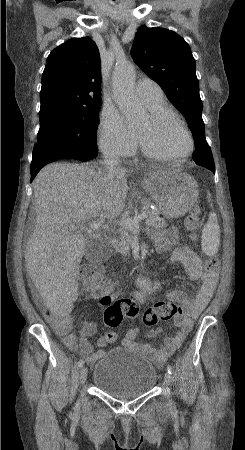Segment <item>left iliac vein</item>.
Listing matches in <instances>:
<instances>
[{
    "mask_svg": "<svg viewBox=\"0 0 245 450\" xmlns=\"http://www.w3.org/2000/svg\"><path fill=\"white\" fill-rule=\"evenodd\" d=\"M164 381L166 386L168 387L171 383V375L168 372H166L164 375Z\"/></svg>",
    "mask_w": 245,
    "mask_h": 450,
    "instance_id": "obj_1",
    "label": "left iliac vein"
}]
</instances>
